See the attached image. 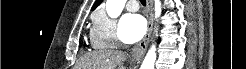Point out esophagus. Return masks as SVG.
Masks as SVG:
<instances>
[{
	"mask_svg": "<svg viewBox=\"0 0 246 69\" xmlns=\"http://www.w3.org/2000/svg\"><path fill=\"white\" fill-rule=\"evenodd\" d=\"M147 2V8H148V13H147V18H148V29H147V33L145 35V38L143 40V42H140L139 44L135 45L132 49H131V57L133 60H140L149 43V38L151 35V31H152V26H153V3L152 0H146Z\"/></svg>",
	"mask_w": 246,
	"mask_h": 69,
	"instance_id": "1",
	"label": "esophagus"
}]
</instances>
